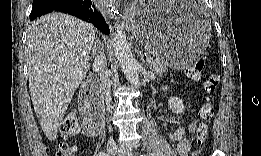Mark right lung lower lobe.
<instances>
[{
    "instance_id": "1",
    "label": "right lung lower lobe",
    "mask_w": 261,
    "mask_h": 156,
    "mask_svg": "<svg viewBox=\"0 0 261 156\" xmlns=\"http://www.w3.org/2000/svg\"><path fill=\"white\" fill-rule=\"evenodd\" d=\"M53 11L68 13L84 21H89L103 33L109 34V27L105 23V19L91 0H33L30 19H36Z\"/></svg>"
}]
</instances>
